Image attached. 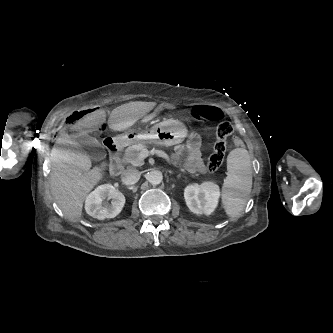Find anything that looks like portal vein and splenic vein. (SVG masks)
<instances>
[{
	"mask_svg": "<svg viewBox=\"0 0 333 333\" xmlns=\"http://www.w3.org/2000/svg\"><path fill=\"white\" fill-rule=\"evenodd\" d=\"M150 153H157L160 157H164V158L168 157V155L163 151H159V150L148 151V150L144 149L140 153V158L144 159V158L148 157Z\"/></svg>",
	"mask_w": 333,
	"mask_h": 333,
	"instance_id": "obj_1",
	"label": "portal vein and splenic vein"
}]
</instances>
